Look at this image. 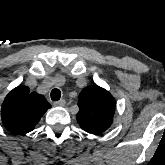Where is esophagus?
<instances>
[{"mask_svg": "<svg viewBox=\"0 0 165 165\" xmlns=\"http://www.w3.org/2000/svg\"><path fill=\"white\" fill-rule=\"evenodd\" d=\"M54 106H63L65 105V101L64 100H59V101H55L53 103Z\"/></svg>", "mask_w": 165, "mask_h": 165, "instance_id": "esophagus-1", "label": "esophagus"}]
</instances>
